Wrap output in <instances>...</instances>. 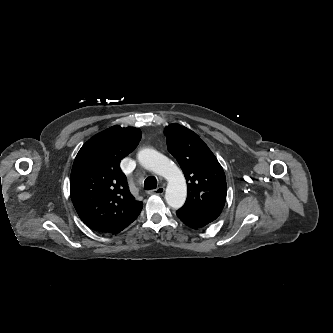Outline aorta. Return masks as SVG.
Wrapping results in <instances>:
<instances>
[{
	"mask_svg": "<svg viewBox=\"0 0 333 333\" xmlns=\"http://www.w3.org/2000/svg\"><path fill=\"white\" fill-rule=\"evenodd\" d=\"M139 163L168 182L165 199L172 208H180L187 196V187L183 173L167 157L156 150L145 148L138 152Z\"/></svg>",
	"mask_w": 333,
	"mask_h": 333,
	"instance_id": "obj_1",
	"label": "aorta"
}]
</instances>
